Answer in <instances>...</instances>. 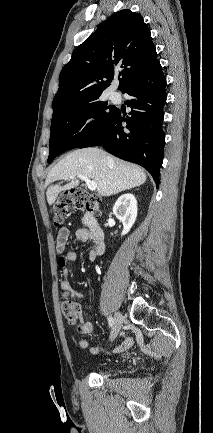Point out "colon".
Returning a JSON list of instances; mask_svg holds the SVG:
<instances>
[{"label":"colon","mask_w":213,"mask_h":433,"mask_svg":"<svg viewBox=\"0 0 213 433\" xmlns=\"http://www.w3.org/2000/svg\"><path fill=\"white\" fill-rule=\"evenodd\" d=\"M84 209L94 216L100 214V200L99 198L89 193L88 191L76 188L66 191L61 194L54 205V222L56 225L63 223L65 218L73 210ZM60 264H64L61 259ZM73 292L67 291L66 298L61 303V312L68 322L76 324L81 317V307L72 298Z\"/></svg>","instance_id":"1"}]
</instances>
